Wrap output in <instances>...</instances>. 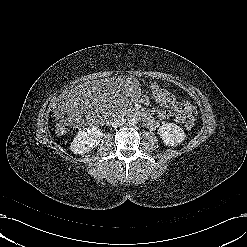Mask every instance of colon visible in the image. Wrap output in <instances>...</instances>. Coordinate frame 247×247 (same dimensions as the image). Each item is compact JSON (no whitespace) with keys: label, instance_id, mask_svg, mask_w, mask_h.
I'll use <instances>...</instances> for the list:
<instances>
[{"label":"colon","instance_id":"5ec220e1","mask_svg":"<svg viewBox=\"0 0 247 247\" xmlns=\"http://www.w3.org/2000/svg\"><path fill=\"white\" fill-rule=\"evenodd\" d=\"M150 90L151 91L149 93V97L147 98H149L154 103H159L162 100H170L172 98V93L170 91H165L164 88L160 86H157ZM70 116H74V115H70ZM67 121L68 118L60 119L57 122H55V130L57 133L63 134L66 132ZM194 125H195V118L194 117L189 118L188 121L186 122V128L190 130L194 127Z\"/></svg>","mask_w":247,"mask_h":247}]
</instances>
